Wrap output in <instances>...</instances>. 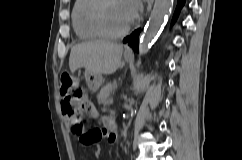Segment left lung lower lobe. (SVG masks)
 Wrapping results in <instances>:
<instances>
[{
  "label": "left lung lower lobe",
  "mask_w": 242,
  "mask_h": 160,
  "mask_svg": "<svg viewBox=\"0 0 242 160\" xmlns=\"http://www.w3.org/2000/svg\"><path fill=\"white\" fill-rule=\"evenodd\" d=\"M186 0H177V7L172 19V25L176 21L181 8L184 6ZM140 29L135 30L130 36H127L123 39L124 43H128L129 46L133 47L136 51H138V37H139Z\"/></svg>",
  "instance_id": "obj_1"
}]
</instances>
